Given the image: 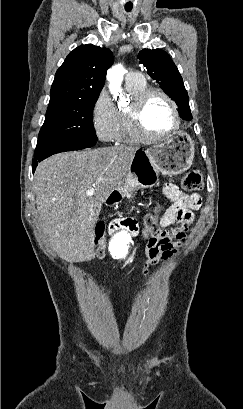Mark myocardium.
Listing matches in <instances>:
<instances>
[{
	"label": "myocardium",
	"instance_id": "obj_1",
	"mask_svg": "<svg viewBox=\"0 0 243 409\" xmlns=\"http://www.w3.org/2000/svg\"><path fill=\"white\" fill-rule=\"evenodd\" d=\"M153 95H160L167 101L171 108L174 119V124L172 128L160 135L149 134L146 131L142 120L144 107L149 98ZM126 116L128 119L130 130L134 138L140 142H155L162 140L174 134L180 128L181 125V117L176 102L170 95H168L165 91L159 88H147L146 90L138 94L135 98H133L132 103L126 110Z\"/></svg>",
	"mask_w": 243,
	"mask_h": 409
}]
</instances>
